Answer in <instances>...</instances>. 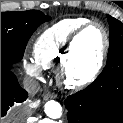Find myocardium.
<instances>
[{"label":"myocardium","instance_id":"myocardium-1","mask_svg":"<svg viewBox=\"0 0 123 123\" xmlns=\"http://www.w3.org/2000/svg\"><path fill=\"white\" fill-rule=\"evenodd\" d=\"M91 26H97L104 38L102 49L97 57V60L90 71L84 75L78 74L74 69V52L75 47L80 37L87 31ZM110 40L106 28L99 22L88 21L86 24L81 26L71 37L66 57L61 63L59 73L62 79V83L68 88H80L92 83L99 75L105 58L109 50Z\"/></svg>","mask_w":123,"mask_h":123}]
</instances>
